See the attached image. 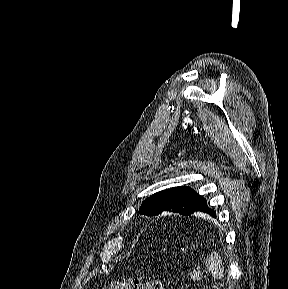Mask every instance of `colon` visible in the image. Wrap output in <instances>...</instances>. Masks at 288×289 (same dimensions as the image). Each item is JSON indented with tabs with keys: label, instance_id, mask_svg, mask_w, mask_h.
<instances>
[{
	"label": "colon",
	"instance_id": "colon-1",
	"mask_svg": "<svg viewBox=\"0 0 288 289\" xmlns=\"http://www.w3.org/2000/svg\"><path fill=\"white\" fill-rule=\"evenodd\" d=\"M99 289H163V286L157 279L122 277Z\"/></svg>",
	"mask_w": 288,
	"mask_h": 289
}]
</instances>
